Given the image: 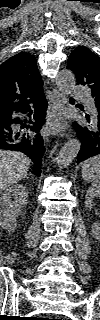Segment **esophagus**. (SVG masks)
<instances>
[{"instance_id": "1", "label": "esophagus", "mask_w": 100, "mask_h": 320, "mask_svg": "<svg viewBox=\"0 0 100 320\" xmlns=\"http://www.w3.org/2000/svg\"><path fill=\"white\" fill-rule=\"evenodd\" d=\"M66 104V97L61 94L59 91H53V101L50 111L47 113L46 123L41 130V135L43 138H48L50 136H55L58 133L57 126V117L60 114L61 110Z\"/></svg>"}]
</instances>
